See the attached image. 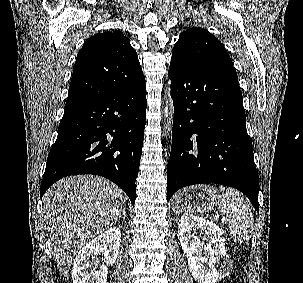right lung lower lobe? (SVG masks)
I'll return each mask as SVG.
<instances>
[{
    "instance_id": "obj_1",
    "label": "right lung lower lobe",
    "mask_w": 303,
    "mask_h": 283,
    "mask_svg": "<svg viewBox=\"0 0 303 283\" xmlns=\"http://www.w3.org/2000/svg\"><path fill=\"white\" fill-rule=\"evenodd\" d=\"M145 78L94 100L67 107L48 155L40 195L59 179L100 175L135 203L146 124Z\"/></svg>"
}]
</instances>
